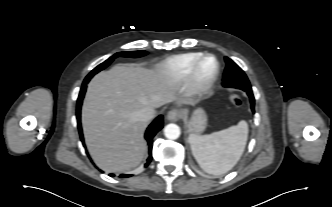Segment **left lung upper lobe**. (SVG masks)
Listing matches in <instances>:
<instances>
[{
    "label": "left lung upper lobe",
    "instance_id": "left-lung-upper-lobe-1",
    "mask_svg": "<svg viewBox=\"0 0 332 207\" xmlns=\"http://www.w3.org/2000/svg\"><path fill=\"white\" fill-rule=\"evenodd\" d=\"M225 62L226 68L223 75V86L244 91L251 89L250 82L244 71L228 57H225Z\"/></svg>",
    "mask_w": 332,
    "mask_h": 207
}]
</instances>
